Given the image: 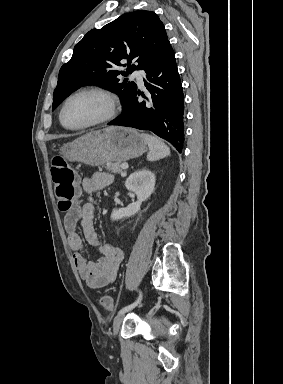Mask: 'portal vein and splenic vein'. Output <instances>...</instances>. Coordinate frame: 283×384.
Returning <instances> with one entry per match:
<instances>
[{"label":"portal vein and splenic vein","instance_id":"18ae733b","mask_svg":"<svg viewBox=\"0 0 283 384\" xmlns=\"http://www.w3.org/2000/svg\"><path fill=\"white\" fill-rule=\"evenodd\" d=\"M122 170H127L129 168L128 164H121Z\"/></svg>","mask_w":283,"mask_h":384}]
</instances>
